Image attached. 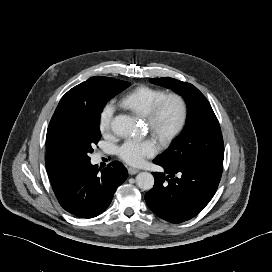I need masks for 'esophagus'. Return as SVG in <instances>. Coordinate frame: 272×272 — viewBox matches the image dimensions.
Wrapping results in <instances>:
<instances>
[{
  "instance_id": "esophagus-1",
  "label": "esophagus",
  "mask_w": 272,
  "mask_h": 272,
  "mask_svg": "<svg viewBox=\"0 0 272 272\" xmlns=\"http://www.w3.org/2000/svg\"><path fill=\"white\" fill-rule=\"evenodd\" d=\"M138 172H139L138 169L131 168V167L128 168V173H129L130 175L137 174Z\"/></svg>"
}]
</instances>
